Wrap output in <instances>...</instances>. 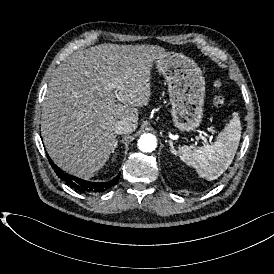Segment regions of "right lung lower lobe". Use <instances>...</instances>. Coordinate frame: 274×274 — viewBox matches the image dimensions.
<instances>
[{
	"label": "right lung lower lobe",
	"mask_w": 274,
	"mask_h": 274,
	"mask_svg": "<svg viewBox=\"0 0 274 274\" xmlns=\"http://www.w3.org/2000/svg\"><path fill=\"white\" fill-rule=\"evenodd\" d=\"M49 159L50 164L55 169L56 174L59 178H61L63 181H65L67 184H69L74 189L80 191V192H91V193H101L106 191L107 189L111 188L116 184V182L119 180V175H117L114 179L108 181V182H89L82 180L80 178H77L75 176H71L67 173H64L60 168H58L52 160L47 156Z\"/></svg>",
	"instance_id": "98d812e1"
}]
</instances>
